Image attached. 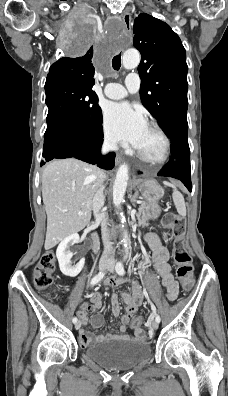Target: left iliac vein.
<instances>
[{"label":"left iliac vein","mask_w":228,"mask_h":396,"mask_svg":"<svg viewBox=\"0 0 228 396\" xmlns=\"http://www.w3.org/2000/svg\"><path fill=\"white\" fill-rule=\"evenodd\" d=\"M114 266H115V262H114V261H111V262L108 264V270H109V272L113 273V271H114ZM151 326H152V328H153L154 330H157L158 327H159V323H158L156 320H153L152 323H151Z\"/></svg>","instance_id":"left-iliac-vein-1"}]
</instances>
